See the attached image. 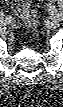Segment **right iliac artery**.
Returning <instances> with one entry per match:
<instances>
[{"label":"right iliac artery","mask_w":63,"mask_h":107,"mask_svg":"<svg viewBox=\"0 0 63 107\" xmlns=\"http://www.w3.org/2000/svg\"><path fill=\"white\" fill-rule=\"evenodd\" d=\"M8 18H10V17H6V20H7ZM2 20H3V17H2ZM1 22H2V21H1Z\"/></svg>","instance_id":"82829eb1"}]
</instances>
